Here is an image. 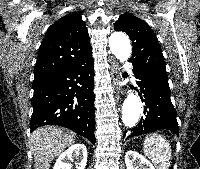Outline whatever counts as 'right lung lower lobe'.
Returning <instances> with one entry per match:
<instances>
[{
  "instance_id": "right-lung-lower-lobe-1",
  "label": "right lung lower lobe",
  "mask_w": 200,
  "mask_h": 169,
  "mask_svg": "<svg viewBox=\"0 0 200 169\" xmlns=\"http://www.w3.org/2000/svg\"><path fill=\"white\" fill-rule=\"evenodd\" d=\"M93 65L90 55L70 69L34 79L31 131L59 125L95 144Z\"/></svg>"
}]
</instances>
